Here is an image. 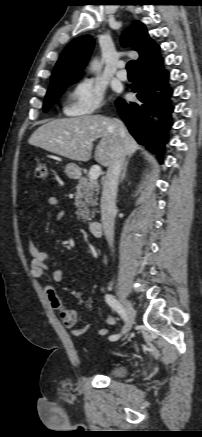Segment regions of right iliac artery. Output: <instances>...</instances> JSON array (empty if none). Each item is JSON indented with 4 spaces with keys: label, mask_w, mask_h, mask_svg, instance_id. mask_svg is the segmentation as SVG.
<instances>
[{
    "label": "right iliac artery",
    "mask_w": 202,
    "mask_h": 437,
    "mask_svg": "<svg viewBox=\"0 0 202 437\" xmlns=\"http://www.w3.org/2000/svg\"><path fill=\"white\" fill-rule=\"evenodd\" d=\"M105 300L108 303V305L114 309L120 316L121 318L125 321L126 320V312L125 309L123 308V306L114 298V296L110 295V294H106L105 296ZM120 337L119 334L116 335H111L109 337V339L111 341H116L118 340Z\"/></svg>",
    "instance_id": "obj_1"
}]
</instances>
